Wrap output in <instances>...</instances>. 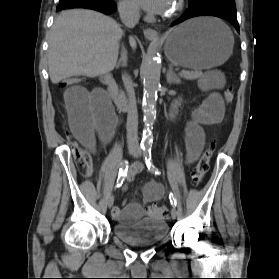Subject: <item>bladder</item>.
Listing matches in <instances>:
<instances>
[{"label":"bladder","mask_w":279,"mask_h":279,"mask_svg":"<svg viewBox=\"0 0 279 279\" xmlns=\"http://www.w3.org/2000/svg\"><path fill=\"white\" fill-rule=\"evenodd\" d=\"M113 232L121 241L133 246H151L162 241L168 232L165 221L143 218L135 224L116 222Z\"/></svg>","instance_id":"31cf9c89"}]
</instances>
